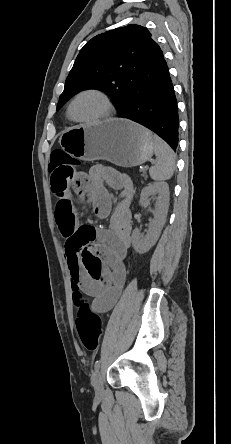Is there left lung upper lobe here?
<instances>
[{
  "instance_id": "obj_1",
  "label": "left lung upper lobe",
  "mask_w": 231,
  "mask_h": 444,
  "mask_svg": "<svg viewBox=\"0 0 231 444\" xmlns=\"http://www.w3.org/2000/svg\"><path fill=\"white\" fill-rule=\"evenodd\" d=\"M160 50L150 32L139 25L93 37L75 60L57 110L79 91L99 89L115 98L119 112L126 105L137 76Z\"/></svg>"
}]
</instances>
